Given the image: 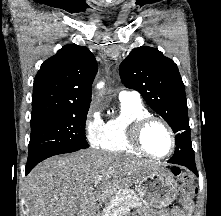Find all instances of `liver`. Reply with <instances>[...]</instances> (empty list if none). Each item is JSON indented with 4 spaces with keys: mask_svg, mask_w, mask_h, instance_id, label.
Returning a JSON list of instances; mask_svg holds the SVG:
<instances>
[{
    "mask_svg": "<svg viewBox=\"0 0 221 216\" xmlns=\"http://www.w3.org/2000/svg\"><path fill=\"white\" fill-rule=\"evenodd\" d=\"M163 168L160 163L91 149L51 157L26 178L30 216H98V201L106 203L116 190Z\"/></svg>",
    "mask_w": 221,
    "mask_h": 216,
    "instance_id": "6515ba94",
    "label": "liver"
}]
</instances>
